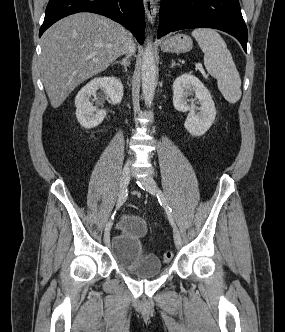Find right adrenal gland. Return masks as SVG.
Instances as JSON below:
<instances>
[{"mask_svg":"<svg viewBox=\"0 0 285 332\" xmlns=\"http://www.w3.org/2000/svg\"><path fill=\"white\" fill-rule=\"evenodd\" d=\"M114 64H120L124 67L125 71L127 72V69L130 65L129 57L124 58L122 61H117Z\"/></svg>","mask_w":285,"mask_h":332,"instance_id":"obj_1","label":"right adrenal gland"}]
</instances>
